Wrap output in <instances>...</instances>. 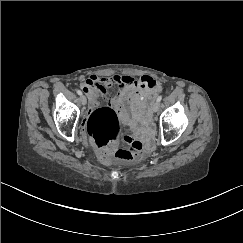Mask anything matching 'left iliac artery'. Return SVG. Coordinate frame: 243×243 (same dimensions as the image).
Listing matches in <instances>:
<instances>
[{
	"mask_svg": "<svg viewBox=\"0 0 243 243\" xmlns=\"http://www.w3.org/2000/svg\"><path fill=\"white\" fill-rule=\"evenodd\" d=\"M162 100V96H159L158 98H157V102H160Z\"/></svg>",
	"mask_w": 243,
	"mask_h": 243,
	"instance_id": "obj_1",
	"label": "left iliac artery"
}]
</instances>
